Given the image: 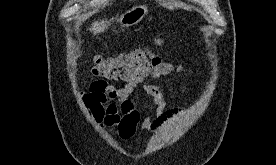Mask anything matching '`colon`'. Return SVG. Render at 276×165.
Here are the masks:
<instances>
[{"instance_id": "5ec220e1", "label": "colon", "mask_w": 276, "mask_h": 165, "mask_svg": "<svg viewBox=\"0 0 276 165\" xmlns=\"http://www.w3.org/2000/svg\"><path fill=\"white\" fill-rule=\"evenodd\" d=\"M162 44V39L156 41L157 46ZM161 62V56L157 52L141 48L114 57L95 55L92 71L109 80L129 81L149 76Z\"/></svg>"}]
</instances>
